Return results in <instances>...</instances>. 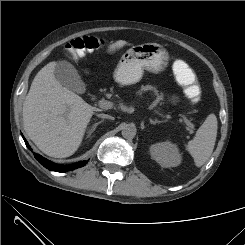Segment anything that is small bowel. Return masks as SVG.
<instances>
[{"mask_svg": "<svg viewBox=\"0 0 245 245\" xmlns=\"http://www.w3.org/2000/svg\"><path fill=\"white\" fill-rule=\"evenodd\" d=\"M173 71L177 80L191 81L195 78L192 69L182 60H176L174 62Z\"/></svg>", "mask_w": 245, "mask_h": 245, "instance_id": "c3829d8e", "label": "small bowel"}]
</instances>
